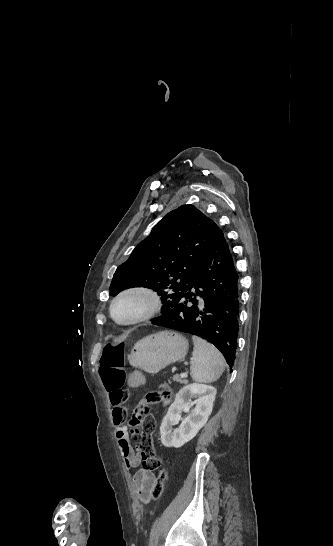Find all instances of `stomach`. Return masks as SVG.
<instances>
[{
    "mask_svg": "<svg viewBox=\"0 0 333 546\" xmlns=\"http://www.w3.org/2000/svg\"><path fill=\"white\" fill-rule=\"evenodd\" d=\"M187 339L173 331H161L143 337L133 347L128 360L131 366L157 374L168 365L185 358Z\"/></svg>",
    "mask_w": 333,
    "mask_h": 546,
    "instance_id": "1",
    "label": "stomach"
}]
</instances>
